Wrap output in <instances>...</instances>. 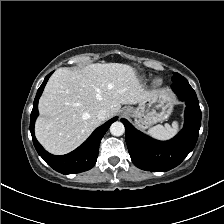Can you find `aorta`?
<instances>
[{
    "instance_id": "762f6f07",
    "label": "aorta",
    "mask_w": 224,
    "mask_h": 224,
    "mask_svg": "<svg viewBox=\"0 0 224 224\" xmlns=\"http://www.w3.org/2000/svg\"><path fill=\"white\" fill-rule=\"evenodd\" d=\"M110 132L114 136H121L125 132V127L122 122L116 121L110 126Z\"/></svg>"
}]
</instances>
